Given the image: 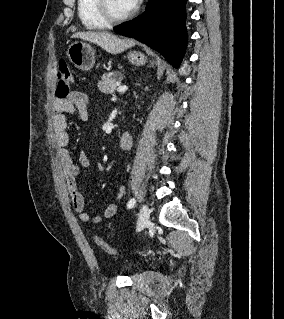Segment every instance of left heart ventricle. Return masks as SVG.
<instances>
[{"instance_id": "obj_1", "label": "left heart ventricle", "mask_w": 284, "mask_h": 319, "mask_svg": "<svg viewBox=\"0 0 284 319\" xmlns=\"http://www.w3.org/2000/svg\"><path fill=\"white\" fill-rule=\"evenodd\" d=\"M111 12L115 16H122L131 11L127 0H108Z\"/></svg>"}]
</instances>
